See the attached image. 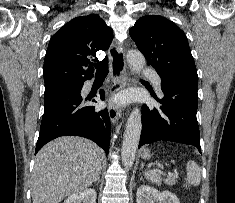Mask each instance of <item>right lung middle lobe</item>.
Wrapping results in <instances>:
<instances>
[{"label": "right lung middle lobe", "mask_w": 235, "mask_h": 203, "mask_svg": "<svg viewBox=\"0 0 235 203\" xmlns=\"http://www.w3.org/2000/svg\"><path fill=\"white\" fill-rule=\"evenodd\" d=\"M79 83H59L49 86H45L44 99L48 100L57 95H60L73 87H76Z\"/></svg>", "instance_id": "right-lung-middle-lobe-1"}]
</instances>
